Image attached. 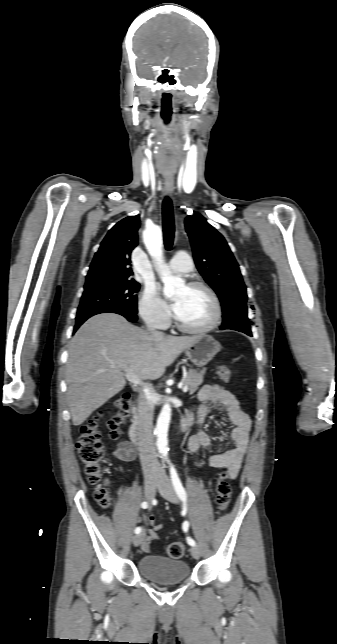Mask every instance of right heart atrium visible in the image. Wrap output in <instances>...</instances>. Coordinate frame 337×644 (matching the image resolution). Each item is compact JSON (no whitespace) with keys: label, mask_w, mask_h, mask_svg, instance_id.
Segmentation results:
<instances>
[{"label":"right heart atrium","mask_w":337,"mask_h":644,"mask_svg":"<svg viewBox=\"0 0 337 644\" xmlns=\"http://www.w3.org/2000/svg\"><path fill=\"white\" fill-rule=\"evenodd\" d=\"M139 312L143 320L154 327H165L169 320L166 306L153 285H148L143 290L139 301Z\"/></svg>","instance_id":"obj_1"}]
</instances>
